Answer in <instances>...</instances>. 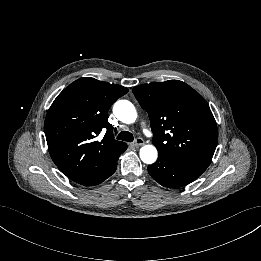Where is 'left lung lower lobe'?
Segmentation results:
<instances>
[{
    "label": "left lung lower lobe",
    "instance_id": "1",
    "mask_svg": "<svg viewBox=\"0 0 261 261\" xmlns=\"http://www.w3.org/2000/svg\"><path fill=\"white\" fill-rule=\"evenodd\" d=\"M207 167L173 156H159L148 166L151 177L169 188L185 186L197 179Z\"/></svg>",
    "mask_w": 261,
    "mask_h": 261
}]
</instances>
